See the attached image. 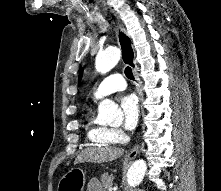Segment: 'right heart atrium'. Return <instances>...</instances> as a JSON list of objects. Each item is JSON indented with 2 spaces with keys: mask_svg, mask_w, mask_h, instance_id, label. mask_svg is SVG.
<instances>
[{
  "mask_svg": "<svg viewBox=\"0 0 221 191\" xmlns=\"http://www.w3.org/2000/svg\"><path fill=\"white\" fill-rule=\"evenodd\" d=\"M110 134L115 143H121L126 138L124 132L119 128L110 129Z\"/></svg>",
  "mask_w": 221,
  "mask_h": 191,
  "instance_id": "right-heart-atrium-1",
  "label": "right heart atrium"
}]
</instances>
